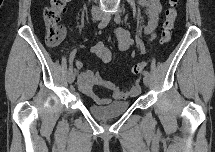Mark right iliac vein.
<instances>
[{
	"label": "right iliac vein",
	"mask_w": 215,
	"mask_h": 152,
	"mask_svg": "<svg viewBox=\"0 0 215 152\" xmlns=\"http://www.w3.org/2000/svg\"><path fill=\"white\" fill-rule=\"evenodd\" d=\"M102 18H103V16L100 15V14H94V15H93V19H94L95 21H99V20H101ZM74 80H75V75H74V73H73V72H69V73H68V82H69L70 84H72V83L74 82Z\"/></svg>",
	"instance_id": "63e3f726"
}]
</instances>
